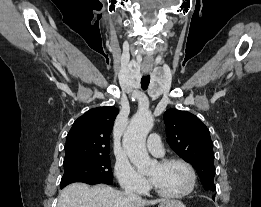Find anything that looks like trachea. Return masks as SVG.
<instances>
[{"instance_id":"1","label":"trachea","mask_w":261,"mask_h":207,"mask_svg":"<svg viewBox=\"0 0 261 207\" xmlns=\"http://www.w3.org/2000/svg\"><path fill=\"white\" fill-rule=\"evenodd\" d=\"M149 83H150V75H144L142 78H141V88L143 90H146L149 86Z\"/></svg>"}]
</instances>
